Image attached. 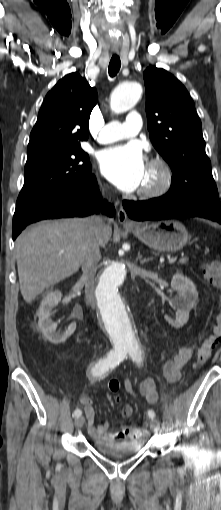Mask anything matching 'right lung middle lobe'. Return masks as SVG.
Returning a JSON list of instances; mask_svg holds the SVG:
<instances>
[{"label": "right lung middle lobe", "mask_w": 221, "mask_h": 510, "mask_svg": "<svg viewBox=\"0 0 221 510\" xmlns=\"http://www.w3.org/2000/svg\"><path fill=\"white\" fill-rule=\"evenodd\" d=\"M91 171L89 156L80 145L28 155L14 216L26 219L46 202L85 183Z\"/></svg>", "instance_id": "obj_1"}]
</instances>
